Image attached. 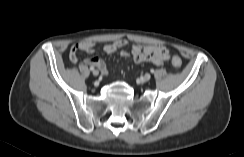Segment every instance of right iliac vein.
Here are the masks:
<instances>
[{"label": "right iliac vein", "mask_w": 244, "mask_h": 157, "mask_svg": "<svg viewBox=\"0 0 244 157\" xmlns=\"http://www.w3.org/2000/svg\"><path fill=\"white\" fill-rule=\"evenodd\" d=\"M93 75H94V76H98V75H99V72H98L97 70H94V71H93Z\"/></svg>", "instance_id": "1"}]
</instances>
